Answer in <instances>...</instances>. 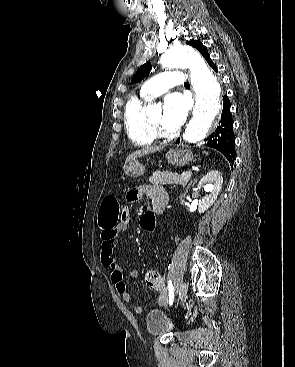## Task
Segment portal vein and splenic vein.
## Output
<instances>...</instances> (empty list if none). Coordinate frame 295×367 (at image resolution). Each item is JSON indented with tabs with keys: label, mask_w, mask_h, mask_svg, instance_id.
Segmentation results:
<instances>
[{
	"label": "portal vein and splenic vein",
	"mask_w": 295,
	"mask_h": 367,
	"mask_svg": "<svg viewBox=\"0 0 295 367\" xmlns=\"http://www.w3.org/2000/svg\"><path fill=\"white\" fill-rule=\"evenodd\" d=\"M181 175L182 176H191L192 172L191 171H186V172H183Z\"/></svg>",
	"instance_id": "portal-vein-and-splenic-vein-1"
}]
</instances>
